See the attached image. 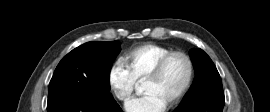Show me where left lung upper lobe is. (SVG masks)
<instances>
[{
    "label": "left lung upper lobe",
    "instance_id": "5c2ea615",
    "mask_svg": "<svg viewBox=\"0 0 270 112\" xmlns=\"http://www.w3.org/2000/svg\"><path fill=\"white\" fill-rule=\"evenodd\" d=\"M189 54L196 76L180 105L199 102L209 95L224 96L220 75L210 57L201 49H191Z\"/></svg>",
    "mask_w": 270,
    "mask_h": 112
}]
</instances>
